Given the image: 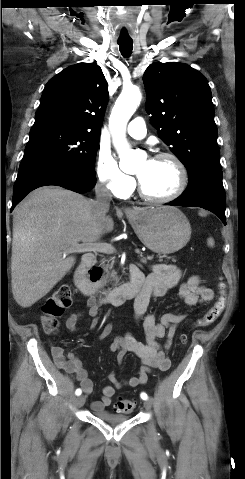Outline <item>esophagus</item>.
<instances>
[{
    "instance_id": "obj_1",
    "label": "esophagus",
    "mask_w": 245,
    "mask_h": 479,
    "mask_svg": "<svg viewBox=\"0 0 245 479\" xmlns=\"http://www.w3.org/2000/svg\"><path fill=\"white\" fill-rule=\"evenodd\" d=\"M125 212H127V213L132 212V209L126 208V209H125Z\"/></svg>"
}]
</instances>
